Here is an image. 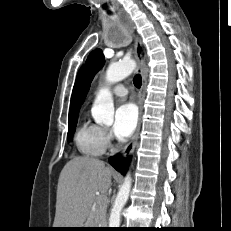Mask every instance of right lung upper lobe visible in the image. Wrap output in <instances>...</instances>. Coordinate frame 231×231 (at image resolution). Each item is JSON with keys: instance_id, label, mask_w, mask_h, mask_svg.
<instances>
[{"instance_id": "obj_1", "label": "right lung upper lobe", "mask_w": 231, "mask_h": 231, "mask_svg": "<svg viewBox=\"0 0 231 231\" xmlns=\"http://www.w3.org/2000/svg\"><path fill=\"white\" fill-rule=\"evenodd\" d=\"M79 82H80V72L78 73L72 96H71V102H70V110H69V118H72L74 116H77L78 113V106H77V97H78V90H79Z\"/></svg>"}]
</instances>
